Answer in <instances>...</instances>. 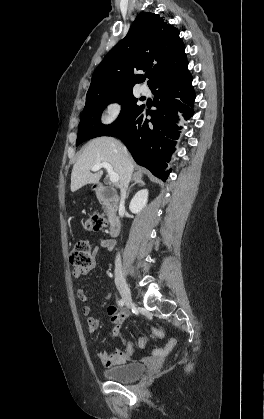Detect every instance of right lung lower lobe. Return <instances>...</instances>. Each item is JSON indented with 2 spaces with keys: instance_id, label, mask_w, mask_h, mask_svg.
Returning a JSON list of instances; mask_svg holds the SVG:
<instances>
[{
  "instance_id": "right-lung-lower-lobe-1",
  "label": "right lung lower lobe",
  "mask_w": 264,
  "mask_h": 419,
  "mask_svg": "<svg viewBox=\"0 0 264 419\" xmlns=\"http://www.w3.org/2000/svg\"><path fill=\"white\" fill-rule=\"evenodd\" d=\"M189 72L175 74L154 83L150 89L155 94V110L141 105L121 124L104 136L122 139L137 164L149 169L155 176L165 181L171 172L165 171L170 161L174 145L179 137L177 111L184 117L193 114L189 106L195 99ZM187 104H183V103ZM150 108V106H148ZM151 116L147 119L146 116Z\"/></svg>"
}]
</instances>
